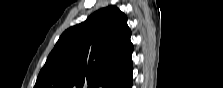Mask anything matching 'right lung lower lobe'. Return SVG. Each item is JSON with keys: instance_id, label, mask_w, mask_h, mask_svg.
Masks as SVG:
<instances>
[{"instance_id": "1", "label": "right lung lower lobe", "mask_w": 223, "mask_h": 88, "mask_svg": "<svg viewBox=\"0 0 223 88\" xmlns=\"http://www.w3.org/2000/svg\"><path fill=\"white\" fill-rule=\"evenodd\" d=\"M131 87H132V81L129 82V83L125 86V88H131Z\"/></svg>"}]
</instances>
